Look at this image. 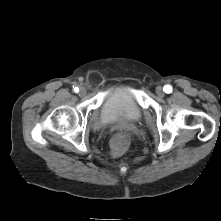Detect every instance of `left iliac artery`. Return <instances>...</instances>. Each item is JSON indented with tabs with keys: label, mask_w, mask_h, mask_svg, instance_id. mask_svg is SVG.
Returning <instances> with one entry per match:
<instances>
[{
	"label": "left iliac artery",
	"mask_w": 221,
	"mask_h": 221,
	"mask_svg": "<svg viewBox=\"0 0 221 221\" xmlns=\"http://www.w3.org/2000/svg\"><path fill=\"white\" fill-rule=\"evenodd\" d=\"M165 93H171L172 92V87L170 85H166L163 88Z\"/></svg>",
	"instance_id": "obj_1"
}]
</instances>
